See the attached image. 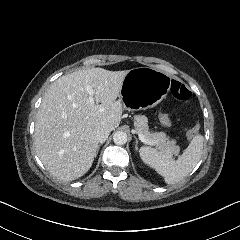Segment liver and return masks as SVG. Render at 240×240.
Instances as JSON below:
<instances>
[{"label": "liver", "mask_w": 240, "mask_h": 240, "mask_svg": "<svg viewBox=\"0 0 240 240\" xmlns=\"http://www.w3.org/2000/svg\"><path fill=\"white\" fill-rule=\"evenodd\" d=\"M128 72L77 70L50 85L36 115L34 145L54 177L72 181L90 169L99 147L96 131H112L120 124L122 104L117 97ZM88 85L96 104L89 100Z\"/></svg>", "instance_id": "obj_1"}]
</instances>
